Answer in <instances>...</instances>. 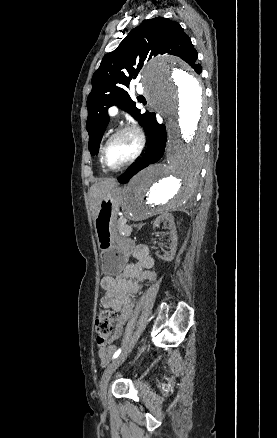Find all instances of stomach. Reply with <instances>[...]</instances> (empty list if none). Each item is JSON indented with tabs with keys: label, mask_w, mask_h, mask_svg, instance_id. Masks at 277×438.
<instances>
[{
	"label": "stomach",
	"mask_w": 277,
	"mask_h": 438,
	"mask_svg": "<svg viewBox=\"0 0 277 438\" xmlns=\"http://www.w3.org/2000/svg\"><path fill=\"white\" fill-rule=\"evenodd\" d=\"M121 201L122 190L118 186L105 193L94 222L101 251L102 271L105 275H118L129 258V244L117 229V214Z\"/></svg>",
	"instance_id": "obj_1"
}]
</instances>
